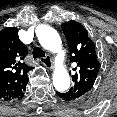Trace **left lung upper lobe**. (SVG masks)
<instances>
[{
	"label": "left lung upper lobe",
	"instance_id": "1",
	"mask_svg": "<svg viewBox=\"0 0 117 117\" xmlns=\"http://www.w3.org/2000/svg\"><path fill=\"white\" fill-rule=\"evenodd\" d=\"M61 28L70 46V61L76 62L78 66L73 69L76 71L72 76L74 85L67 95L70 100L81 99L92 89L101 65L97 59L95 44L81 24L71 20L61 24Z\"/></svg>",
	"mask_w": 117,
	"mask_h": 117
}]
</instances>
